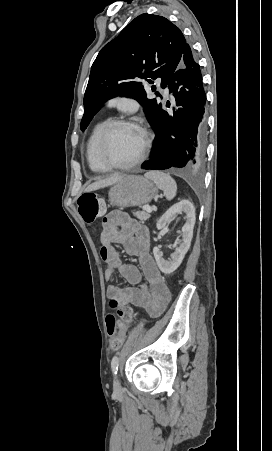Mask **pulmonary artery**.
<instances>
[{
  "mask_svg": "<svg viewBox=\"0 0 272 451\" xmlns=\"http://www.w3.org/2000/svg\"><path fill=\"white\" fill-rule=\"evenodd\" d=\"M165 94H164V99L166 100V101H171L172 99H173V92H172V90L171 89H166L165 90V92H164Z\"/></svg>",
  "mask_w": 272,
  "mask_h": 451,
  "instance_id": "obj_1",
  "label": "pulmonary artery"
}]
</instances>
